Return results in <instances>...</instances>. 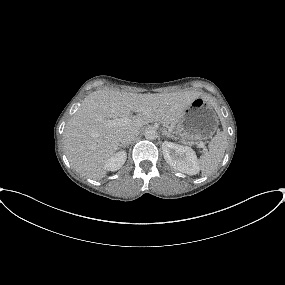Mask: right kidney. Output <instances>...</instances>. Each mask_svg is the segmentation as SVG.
I'll return each mask as SVG.
<instances>
[{
	"mask_svg": "<svg viewBox=\"0 0 285 285\" xmlns=\"http://www.w3.org/2000/svg\"><path fill=\"white\" fill-rule=\"evenodd\" d=\"M127 154L125 151H119L113 155L109 161L106 163L105 167L108 171H117L125 163Z\"/></svg>",
	"mask_w": 285,
	"mask_h": 285,
	"instance_id": "ca27d5eb",
	"label": "right kidney"
}]
</instances>
